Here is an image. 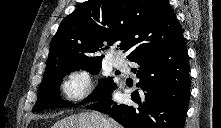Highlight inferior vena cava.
<instances>
[{"mask_svg":"<svg viewBox=\"0 0 221 128\" xmlns=\"http://www.w3.org/2000/svg\"><path fill=\"white\" fill-rule=\"evenodd\" d=\"M104 125H107V122L104 120ZM106 128L108 127V126H105Z\"/></svg>","mask_w":221,"mask_h":128,"instance_id":"obj_1","label":"inferior vena cava"}]
</instances>
